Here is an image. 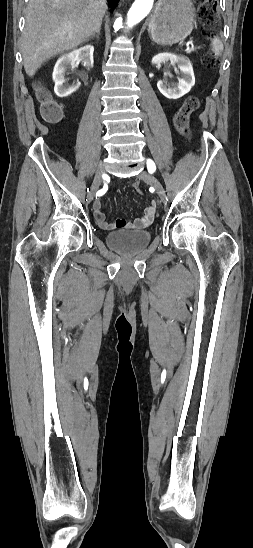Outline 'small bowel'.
Masks as SVG:
<instances>
[{"mask_svg":"<svg viewBox=\"0 0 253 548\" xmlns=\"http://www.w3.org/2000/svg\"><path fill=\"white\" fill-rule=\"evenodd\" d=\"M94 217L98 224L107 230L115 228H128V229H142L149 226L156 212V203L152 201L144 210L142 217L136 218L133 222H127L124 219H118L115 222H109L106 219L104 212L102 211V203L100 200H96L93 204Z\"/></svg>","mask_w":253,"mask_h":548,"instance_id":"small-bowel-1","label":"small bowel"}]
</instances>
